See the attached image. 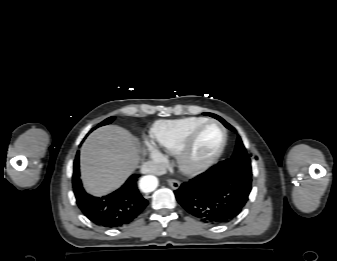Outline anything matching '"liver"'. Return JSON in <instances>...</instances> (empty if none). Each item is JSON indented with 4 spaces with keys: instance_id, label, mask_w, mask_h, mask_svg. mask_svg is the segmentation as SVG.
<instances>
[{
    "instance_id": "obj_1",
    "label": "liver",
    "mask_w": 337,
    "mask_h": 261,
    "mask_svg": "<svg viewBox=\"0 0 337 261\" xmlns=\"http://www.w3.org/2000/svg\"><path fill=\"white\" fill-rule=\"evenodd\" d=\"M138 152L136 138L124 128L110 125L92 132L80 152L87 191L100 196L121 186L137 167Z\"/></svg>"
}]
</instances>
